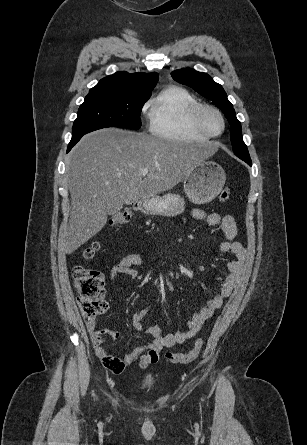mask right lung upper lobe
<instances>
[{"mask_svg":"<svg viewBox=\"0 0 307 445\" xmlns=\"http://www.w3.org/2000/svg\"><path fill=\"white\" fill-rule=\"evenodd\" d=\"M158 74L117 72L107 76L90 89L87 96L92 95H112L149 98L151 91L158 82Z\"/></svg>","mask_w":307,"mask_h":445,"instance_id":"obj_1","label":"right lung upper lobe"}]
</instances>
